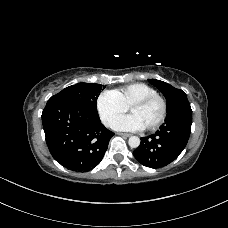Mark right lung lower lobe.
Returning <instances> with one entry per match:
<instances>
[{
	"label": "right lung lower lobe",
	"mask_w": 228,
	"mask_h": 228,
	"mask_svg": "<svg viewBox=\"0 0 228 228\" xmlns=\"http://www.w3.org/2000/svg\"><path fill=\"white\" fill-rule=\"evenodd\" d=\"M42 122L53 158L76 172L97 166L114 135L101 123L98 112L65 100H48Z\"/></svg>",
	"instance_id": "right-lung-lower-lobe-1"
}]
</instances>
